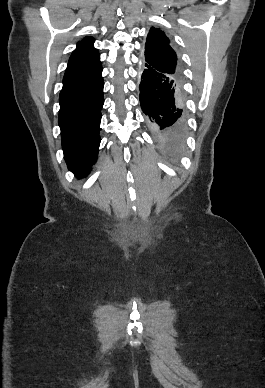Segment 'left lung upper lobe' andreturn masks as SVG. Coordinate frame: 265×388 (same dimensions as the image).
<instances>
[{"label":"left lung upper lobe","instance_id":"5c2ea615","mask_svg":"<svg viewBox=\"0 0 265 388\" xmlns=\"http://www.w3.org/2000/svg\"><path fill=\"white\" fill-rule=\"evenodd\" d=\"M143 65L165 73L182 84V71L169 38L159 28L151 27L145 44Z\"/></svg>","mask_w":265,"mask_h":388}]
</instances>
